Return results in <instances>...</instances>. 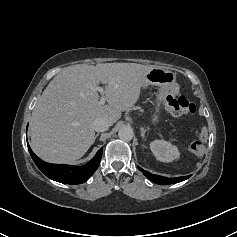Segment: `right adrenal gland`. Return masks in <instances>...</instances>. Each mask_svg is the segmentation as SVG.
Listing matches in <instances>:
<instances>
[{
	"instance_id": "right-adrenal-gland-1",
	"label": "right adrenal gland",
	"mask_w": 237,
	"mask_h": 237,
	"mask_svg": "<svg viewBox=\"0 0 237 237\" xmlns=\"http://www.w3.org/2000/svg\"><path fill=\"white\" fill-rule=\"evenodd\" d=\"M98 135H99V134H96V135H95V139L98 137ZM94 141H95V140H94Z\"/></svg>"
}]
</instances>
